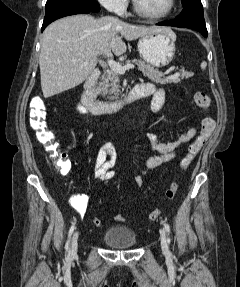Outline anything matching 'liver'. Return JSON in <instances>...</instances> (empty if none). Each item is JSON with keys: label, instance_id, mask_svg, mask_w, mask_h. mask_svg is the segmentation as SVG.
I'll use <instances>...</instances> for the list:
<instances>
[{"label": "liver", "instance_id": "obj_1", "mask_svg": "<svg viewBox=\"0 0 240 287\" xmlns=\"http://www.w3.org/2000/svg\"><path fill=\"white\" fill-rule=\"evenodd\" d=\"M165 26H140L111 16L95 19L73 15L50 24L43 32L39 66L45 98L80 85L95 69L99 59L126 52L122 40L171 32Z\"/></svg>", "mask_w": 240, "mask_h": 287}]
</instances>
